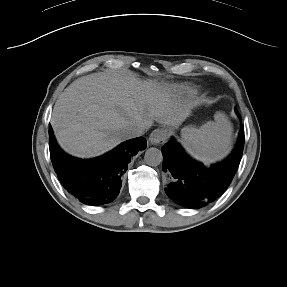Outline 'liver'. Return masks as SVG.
Here are the masks:
<instances>
[{
    "instance_id": "6515ba94",
    "label": "liver",
    "mask_w": 287,
    "mask_h": 287,
    "mask_svg": "<svg viewBox=\"0 0 287 287\" xmlns=\"http://www.w3.org/2000/svg\"><path fill=\"white\" fill-rule=\"evenodd\" d=\"M155 84L134 77L93 73L72 82L57 99L51 125L59 145L79 158L100 156L127 138L123 128L153 121L172 127L187 109Z\"/></svg>"
}]
</instances>
